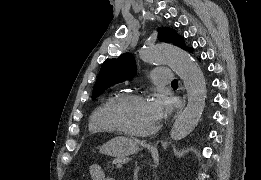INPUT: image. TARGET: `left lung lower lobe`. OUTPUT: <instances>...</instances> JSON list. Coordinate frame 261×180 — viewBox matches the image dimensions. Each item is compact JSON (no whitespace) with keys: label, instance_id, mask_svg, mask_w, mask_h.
Wrapping results in <instances>:
<instances>
[{"label":"left lung lower lobe","instance_id":"left-lung-lower-lobe-1","mask_svg":"<svg viewBox=\"0 0 261 180\" xmlns=\"http://www.w3.org/2000/svg\"><path fill=\"white\" fill-rule=\"evenodd\" d=\"M187 51L193 52V48H188Z\"/></svg>","mask_w":261,"mask_h":180}]
</instances>
